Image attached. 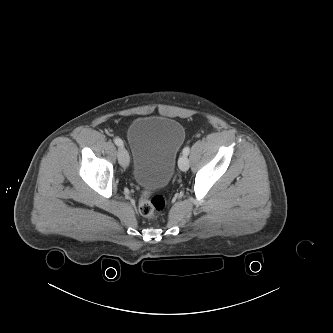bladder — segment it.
Listing matches in <instances>:
<instances>
[{"label": "bladder", "mask_w": 333, "mask_h": 333, "mask_svg": "<svg viewBox=\"0 0 333 333\" xmlns=\"http://www.w3.org/2000/svg\"><path fill=\"white\" fill-rule=\"evenodd\" d=\"M127 137L135 181L145 188L167 185L185 140L183 125L166 117H141L130 125Z\"/></svg>", "instance_id": "bladder-1"}]
</instances>
